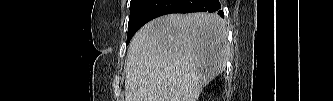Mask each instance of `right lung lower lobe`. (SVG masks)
<instances>
[{
	"label": "right lung lower lobe",
	"mask_w": 333,
	"mask_h": 101,
	"mask_svg": "<svg viewBox=\"0 0 333 101\" xmlns=\"http://www.w3.org/2000/svg\"><path fill=\"white\" fill-rule=\"evenodd\" d=\"M219 0H143L134 15L133 35L150 20L169 13L216 12L223 17Z\"/></svg>",
	"instance_id": "98d812e1"
}]
</instances>
